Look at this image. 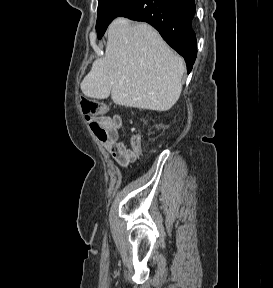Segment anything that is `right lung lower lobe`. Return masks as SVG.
I'll return each instance as SVG.
<instances>
[{
    "label": "right lung lower lobe",
    "mask_w": 273,
    "mask_h": 288,
    "mask_svg": "<svg viewBox=\"0 0 273 288\" xmlns=\"http://www.w3.org/2000/svg\"><path fill=\"white\" fill-rule=\"evenodd\" d=\"M194 0H137L120 16L151 24L184 57L190 73L197 55Z\"/></svg>",
    "instance_id": "1"
}]
</instances>
